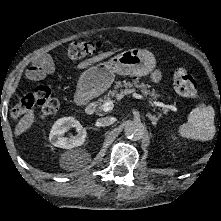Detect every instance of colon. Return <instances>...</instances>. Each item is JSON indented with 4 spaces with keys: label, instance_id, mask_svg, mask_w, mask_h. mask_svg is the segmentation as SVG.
<instances>
[{
    "label": "colon",
    "instance_id": "obj_1",
    "mask_svg": "<svg viewBox=\"0 0 221 221\" xmlns=\"http://www.w3.org/2000/svg\"><path fill=\"white\" fill-rule=\"evenodd\" d=\"M99 49L96 42L78 41L71 43L66 52L65 58L79 60L91 56ZM174 87L176 91L187 98L198 100L202 94L198 90L197 83L186 68H178L174 73ZM34 107L39 110L42 118L55 115L59 109L58 100L52 95L47 86H38L33 92L24 95L12 108L11 116L19 118Z\"/></svg>",
    "mask_w": 221,
    "mask_h": 221
}]
</instances>
